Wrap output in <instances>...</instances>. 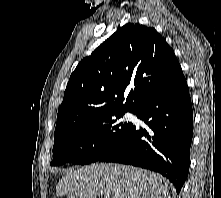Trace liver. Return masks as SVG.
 Masks as SVG:
<instances>
[{"label":"liver","mask_w":221,"mask_h":198,"mask_svg":"<svg viewBox=\"0 0 221 198\" xmlns=\"http://www.w3.org/2000/svg\"><path fill=\"white\" fill-rule=\"evenodd\" d=\"M67 198H170L168 181L154 172L118 164H93L69 170L56 186Z\"/></svg>","instance_id":"6515ba94"}]
</instances>
